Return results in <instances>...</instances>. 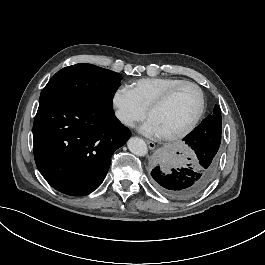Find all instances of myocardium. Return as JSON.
Wrapping results in <instances>:
<instances>
[{
  "instance_id": "obj_1",
  "label": "myocardium",
  "mask_w": 265,
  "mask_h": 265,
  "mask_svg": "<svg viewBox=\"0 0 265 265\" xmlns=\"http://www.w3.org/2000/svg\"><path fill=\"white\" fill-rule=\"evenodd\" d=\"M189 86L195 88L198 92V95H199L198 111H197L195 117L193 118V120L184 129H182L176 133H173V134H170L167 136H163L162 139L165 141H174V140L184 138L187 135H189L197 127V125L199 124V122L201 121V119L204 115L205 108H206V97H205V93H204L203 89L198 84H196L195 82L184 81V82L174 86L169 91H167L147 111V117L149 118L153 112L164 107L181 89H183L185 87H189Z\"/></svg>"
}]
</instances>
